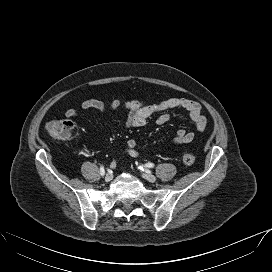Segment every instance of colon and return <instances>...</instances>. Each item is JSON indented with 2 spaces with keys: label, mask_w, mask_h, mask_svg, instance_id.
<instances>
[{
  "label": "colon",
  "mask_w": 272,
  "mask_h": 272,
  "mask_svg": "<svg viewBox=\"0 0 272 272\" xmlns=\"http://www.w3.org/2000/svg\"><path fill=\"white\" fill-rule=\"evenodd\" d=\"M46 130L52 138L58 140H70L76 134L75 124L68 119L51 121L47 124ZM182 159L185 164L191 165L195 161V156L191 153H185Z\"/></svg>",
  "instance_id": "obj_1"
}]
</instances>
